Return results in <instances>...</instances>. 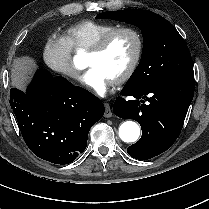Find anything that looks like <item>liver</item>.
I'll return each instance as SVG.
<instances>
[{"mask_svg":"<svg viewBox=\"0 0 209 209\" xmlns=\"http://www.w3.org/2000/svg\"><path fill=\"white\" fill-rule=\"evenodd\" d=\"M35 67V61L30 57L25 56L15 59L11 71L12 85L23 89L28 76Z\"/></svg>","mask_w":209,"mask_h":209,"instance_id":"6515ba94","label":"liver"}]
</instances>
